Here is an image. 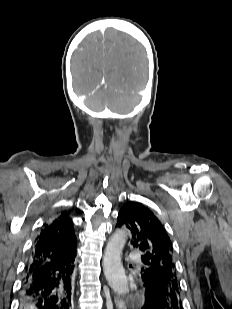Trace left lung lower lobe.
Instances as JSON below:
<instances>
[{"instance_id": "1", "label": "left lung lower lobe", "mask_w": 232, "mask_h": 309, "mask_svg": "<svg viewBox=\"0 0 232 309\" xmlns=\"http://www.w3.org/2000/svg\"><path fill=\"white\" fill-rule=\"evenodd\" d=\"M141 279L145 289V302L141 309H182V302L169 299L154 281L142 276Z\"/></svg>"}]
</instances>
